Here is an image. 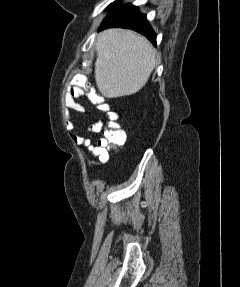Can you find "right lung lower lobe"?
<instances>
[{"mask_svg": "<svg viewBox=\"0 0 240 287\" xmlns=\"http://www.w3.org/2000/svg\"><path fill=\"white\" fill-rule=\"evenodd\" d=\"M118 0L111 4L112 10L104 19L99 30L104 28L122 27L135 30L146 36L154 45H156V35L149 25L146 15L141 14L138 7L130 4L119 7Z\"/></svg>", "mask_w": 240, "mask_h": 287, "instance_id": "98d812e1", "label": "right lung lower lobe"}]
</instances>
